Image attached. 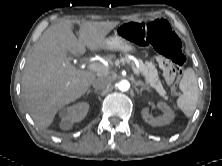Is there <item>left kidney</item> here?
Returning <instances> with one entry per match:
<instances>
[{
  "label": "left kidney",
  "mask_w": 222,
  "mask_h": 166,
  "mask_svg": "<svg viewBox=\"0 0 222 166\" xmlns=\"http://www.w3.org/2000/svg\"><path fill=\"white\" fill-rule=\"evenodd\" d=\"M157 107L162 110L163 115L154 118L149 114V108L145 107L141 111L144 121L152 126H163L169 124L174 119L172 109L164 102L157 103Z\"/></svg>",
  "instance_id": "left-kidney-1"
}]
</instances>
